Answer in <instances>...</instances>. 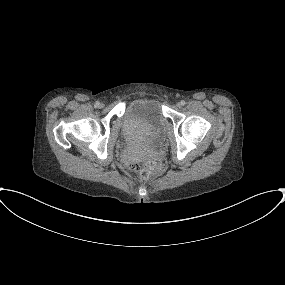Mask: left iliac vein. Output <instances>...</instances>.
Listing matches in <instances>:
<instances>
[{
  "instance_id": "obj_1",
  "label": "left iliac vein",
  "mask_w": 285,
  "mask_h": 285,
  "mask_svg": "<svg viewBox=\"0 0 285 285\" xmlns=\"http://www.w3.org/2000/svg\"><path fill=\"white\" fill-rule=\"evenodd\" d=\"M176 106H177V107H180V106H181V103L178 102V103L176 104Z\"/></svg>"
}]
</instances>
